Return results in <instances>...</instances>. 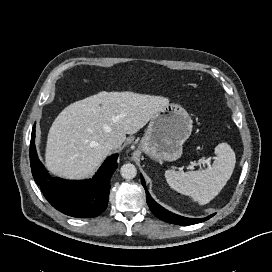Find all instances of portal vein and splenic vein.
I'll return each instance as SVG.
<instances>
[{"label": "portal vein and splenic vein", "mask_w": 272, "mask_h": 272, "mask_svg": "<svg viewBox=\"0 0 272 272\" xmlns=\"http://www.w3.org/2000/svg\"><path fill=\"white\" fill-rule=\"evenodd\" d=\"M198 162H199V163H207V164L209 163L208 160H199ZM190 168H192V166H191Z\"/></svg>", "instance_id": "18ae733b"}]
</instances>
